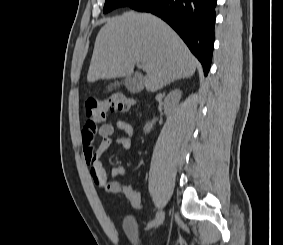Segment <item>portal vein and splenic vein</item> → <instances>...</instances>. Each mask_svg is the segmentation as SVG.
I'll use <instances>...</instances> for the list:
<instances>
[{
	"instance_id": "18ae733b",
	"label": "portal vein and splenic vein",
	"mask_w": 283,
	"mask_h": 245,
	"mask_svg": "<svg viewBox=\"0 0 283 245\" xmlns=\"http://www.w3.org/2000/svg\"><path fill=\"white\" fill-rule=\"evenodd\" d=\"M138 66H140L143 70H146V65L143 63H138Z\"/></svg>"
}]
</instances>
